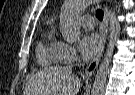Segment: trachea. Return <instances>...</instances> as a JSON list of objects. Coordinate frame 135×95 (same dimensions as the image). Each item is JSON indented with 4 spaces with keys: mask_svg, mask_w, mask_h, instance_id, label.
Masks as SVG:
<instances>
[{
    "mask_svg": "<svg viewBox=\"0 0 135 95\" xmlns=\"http://www.w3.org/2000/svg\"><path fill=\"white\" fill-rule=\"evenodd\" d=\"M96 17L101 21L103 19V11L101 9L96 10Z\"/></svg>",
    "mask_w": 135,
    "mask_h": 95,
    "instance_id": "trachea-1",
    "label": "trachea"
}]
</instances>
